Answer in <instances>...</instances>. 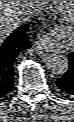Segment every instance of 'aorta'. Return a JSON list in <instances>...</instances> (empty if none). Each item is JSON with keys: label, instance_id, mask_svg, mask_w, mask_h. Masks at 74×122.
Here are the masks:
<instances>
[{"label": "aorta", "instance_id": "obj_1", "mask_svg": "<svg viewBox=\"0 0 74 122\" xmlns=\"http://www.w3.org/2000/svg\"><path fill=\"white\" fill-rule=\"evenodd\" d=\"M47 69L55 75H63L68 71V58L62 54H51L46 60Z\"/></svg>", "mask_w": 74, "mask_h": 122}]
</instances>
